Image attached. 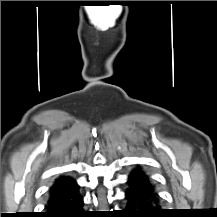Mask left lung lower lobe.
Masks as SVG:
<instances>
[{
	"label": "left lung lower lobe",
	"instance_id": "left-lung-lower-lobe-1",
	"mask_svg": "<svg viewBox=\"0 0 217 217\" xmlns=\"http://www.w3.org/2000/svg\"><path fill=\"white\" fill-rule=\"evenodd\" d=\"M129 187L125 193L128 217H164L159 197L147 176L134 170L128 177Z\"/></svg>",
	"mask_w": 217,
	"mask_h": 217
}]
</instances>
